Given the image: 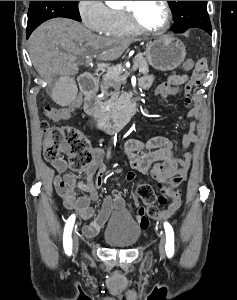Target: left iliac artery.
Listing matches in <instances>:
<instances>
[{
  "label": "left iliac artery",
  "mask_w": 237,
  "mask_h": 300,
  "mask_svg": "<svg viewBox=\"0 0 237 300\" xmlns=\"http://www.w3.org/2000/svg\"><path fill=\"white\" fill-rule=\"evenodd\" d=\"M164 228L166 233L165 251L168 258H171L174 254V231L168 222L164 223Z\"/></svg>",
  "instance_id": "44dca946"
}]
</instances>
